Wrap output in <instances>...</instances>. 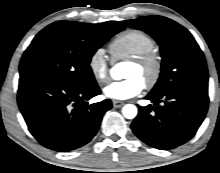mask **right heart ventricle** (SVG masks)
I'll return each instance as SVG.
<instances>
[{
	"instance_id": "right-heart-ventricle-1",
	"label": "right heart ventricle",
	"mask_w": 220,
	"mask_h": 173,
	"mask_svg": "<svg viewBox=\"0 0 220 173\" xmlns=\"http://www.w3.org/2000/svg\"><path fill=\"white\" fill-rule=\"evenodd\" d=\"M154 39L143 31L128 29L117 35L109 45L113 60L131 59L154 51Z\"/></svg>"
}]
</instances>
